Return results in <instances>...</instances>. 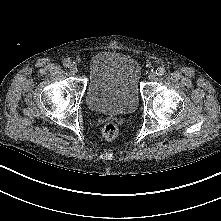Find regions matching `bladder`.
Instances as JSON below:
<instances>
[{
  "label": "bladder",
  "mask_w": 221,
  "mask_h": 221,
  "mask_svg": "<svg viewBox=\"0 0 221 221\" xmlns=\"http://www.w3.org/2000/svg\"><path fill=\"white\" fill-rule=\"evenodd\" d=\"M141 67L132 56L112 50L97 52L88 67L86 103L103 114H127L139 103Z\"/></svg>",
  "instance_id": "obj_1"
}]
</instances>
